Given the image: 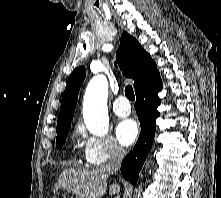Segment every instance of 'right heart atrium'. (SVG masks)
<instances>
[{
	"label": "right heart atrium",
	"instance_id": "d8ad5b80",
	"mask_svg": "<svg viewBox=\"0 0 221 198\" xmlns=\"http://www.w3.org/2000/svg\"><path fill=\"white\" fill-rule=\"evenodd\" d=\"M84 139V158L91 166H101L121 160L124 148L111 136L96 137L82 132Z\"/></svg>",
	"mask_w": 221,
	"mask_h": 198
}]
</instances>
